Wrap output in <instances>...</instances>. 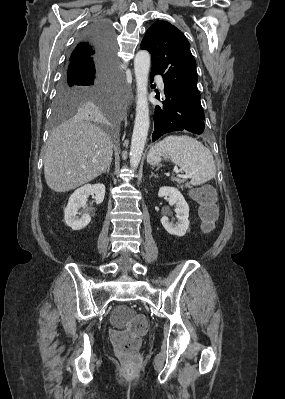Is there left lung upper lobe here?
<instances>
[{
    "label": "left lung upper lobe",
    "instance_id": "left-lung-upper-lobe-1",
    "mask_svg": "<svg viewBox=\"0 0 285 399\" xmlns=\"http://www.w3.org/2000/svg\"><path fill=\"white\" fill-rule=\"evenodd\" d=\"M141 49L151 53L152 70L161 74L169 87L205 119L196 62L184 34L169 22L157 21L147 30Z\"/></svg>",
    "mask_w": 285,
    "mask_h": 399
}]
</instances>
